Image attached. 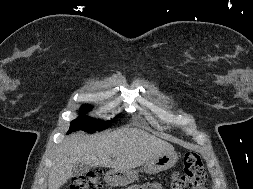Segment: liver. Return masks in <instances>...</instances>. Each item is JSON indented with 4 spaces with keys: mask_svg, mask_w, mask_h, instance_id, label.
<instances>
[{
    "mask_svg": "<svg viewBox=\"0 0 253 189\" xmlns=\"http://www.w3.org/2000/svg\"><path fill=\"white\" fill-rule=\"evenodd\" d=\"M174 147L139 128H122L98 137L74 133L66 137L51 157L48 189H59L72 176L73 165L131 170ZM113 158V159H111Z\"/></svg>",
    "mask_w": 253,
    "mask_h": 189,
    "instance_id": "6515ba94",
    "label": "liver"
}]
</instances>
